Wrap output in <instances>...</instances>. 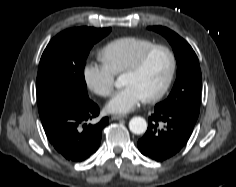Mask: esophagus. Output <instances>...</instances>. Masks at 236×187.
<instances>
[{
    "label": "esophagus",
    "instance_id": "esophagus-1",
    "mask_svg": "<svg viewBox=\"0 0 236 187\" xmlns=\"http://www.w3.org/2000/svg\"><path fill=\"white\" fill-rule=\"evenodd\" d=\"M124 118H127L126 115H113L111 117L112 120H119V119H124Z\"/></svg>",
    "mask_w": 236,
    "mask_h": 187
}]
</instances>
